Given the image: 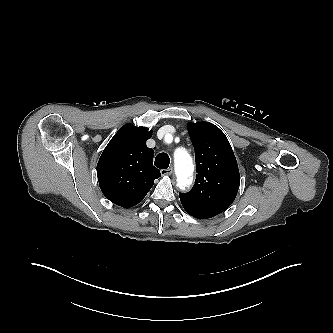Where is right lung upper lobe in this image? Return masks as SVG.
<instances>
[{
  "label": "right lung upper lobe",
  "instance_id": "cb5924a9",
  "mask_svg": "<svg viewBox=\"0 0 333 333\" xmlns=\"http://www.w3.org/2000/svg\"><path fill=\"white\" fill-rule=\"evenodd\" d=\"M152 131L126 124L104 149L97 175L102 193L114 204L129 208L138 204L161 176L153 166L154 151L146 146Z\"/></svg>",
  "mask_w": 333,
  "mask_h": 333
}]
</instances>
